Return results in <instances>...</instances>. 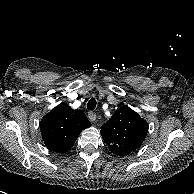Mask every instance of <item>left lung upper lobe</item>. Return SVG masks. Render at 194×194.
Returning a JSON list of instances; mask_svg holds the SVG:
<instances>
[{
    "label": "left lung upper lobe",
    "mask_w": 194,
    "mask_h": 194,
    "mask_svg": "<svg viewBox=\"0 0 194 194\" xmlns=\"http://www.w3.org/2000/svg\"><path fill=\"white\" fill-rule=\"evenodd\" d=\"M147 131V122L124 105L101 126L100 132L112 153L125 156L141 146Z\"/></svg>",
    "instance_id": "obj_1"
}]
</instances>
